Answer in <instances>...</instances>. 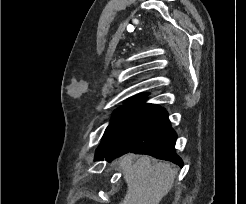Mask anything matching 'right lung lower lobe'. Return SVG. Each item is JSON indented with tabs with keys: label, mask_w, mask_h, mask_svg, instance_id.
Returning a JSON list of instances; mask_svg holds the SVG:
<instances>
[{
	"label": "right lung lower lobe",
	"mask_w": 246,
	"mask_h": 204,
	"mask_svg": "<svg viewBox=\"0 0 246 204\" xmlns=\"http://www.w3.org/2000/svg\"><path fill=\"white\" fill-rule=\"evenodd\" d=\"M146 98L135 102L128 110L115 142L109 151L95 160L108 161L125 153L148 154L158 159L183 166L175 153L176 133L171 128L165 109L145 103Z\"/></svg>",
	"instance_id": "98d812e1"
}]
</instances>
